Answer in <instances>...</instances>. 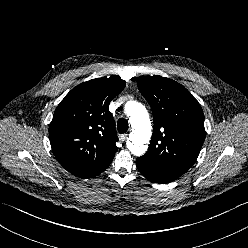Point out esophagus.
<instances>
[{
  "label": "esophagus",
  "instance_id": "1",
  "mask_svg": "<svg viewBox=\"0 0 248 248\" xmlns=\"http://www.w3.org/2000/svg\"><path fill=\"white\" fill-rule=\"evenodd\" d=\"M128 134L127 133H125V134H122V135H120V140L121 141H125L127 138H128Z\"/></svg>",
  "mask_w": 248,
  "mask_h": 248
}]
</instances>
